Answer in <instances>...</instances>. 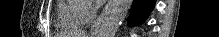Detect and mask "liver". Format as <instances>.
Returning a JSON list of instances; mask_svg holds the SVG:
<instances>
[{"mask_svg":"<svg viewBox=\"0 0 219 37\" xmlns=\"http://www.w3.org/2000/svg\"><path fill=\"white\" fill-rule=\"evenodd\" d=\"M77 35H80L79 37H87L86 35V33H77Z\"/></svg>","mask_w":219,"mask_h":37,"instance_id":"liver-1","label":"liver"}]
</instances>
